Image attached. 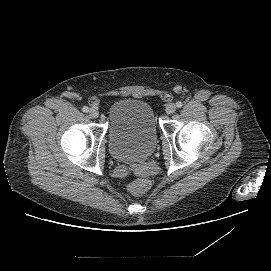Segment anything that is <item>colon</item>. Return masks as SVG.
Wrapping results in <instances>:
<instances>
[{"instance_id": "5ec220e1", "label": "colon", "mask_w": 271, "mask_h": 271, "mask_svg": "<svg viewBox=\"0 0 271 271\" xmlns=\"http://www.w3.org/2000/svg\"><path fill=\"white\" fill-rule=\"evenodd\" d=\"M151 182L145 177L141 176L136 178L129 186L128 190L133 195H141L150 188Z\"/></svg>"}]
</instances>
